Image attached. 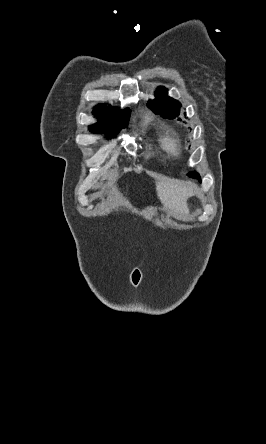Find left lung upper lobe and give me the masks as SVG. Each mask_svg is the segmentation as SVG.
<instances>
[{"label":"left lung upper lobe","instance_id":"left-lung-upper-lobe-1","mask_svg":"<svg viewBox=\"0 0 266 444\" xmlns=\"http://www.w3.org/2000/svg\"><path fill=\"white\" fill-rule=\"evenodd\" d=\"M156 98L149 101L148 107L155 113L160 114L164 118L174 119L180 113L181 104L177 100L167 95V90L159 87L156 90ZM190 177L196 178L194 173L189 174Z\"/></svg>","mask_w":266,"mask_h":444}]
</instances>
